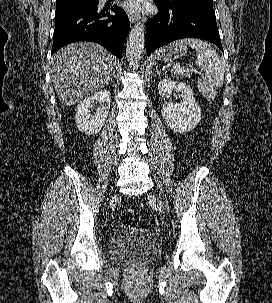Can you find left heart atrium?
Masks as SVG:
<instances>
[{
	"instance_id": "39dd6f15",
	"label": "left heart atrium",
	"mask_w": 272,
	"mask_h": 303,
	"mask_svg": "<svg viewBox=\"0 0 272 303\" xmlns=\"http://www.w3.org/2000/svg\"><path fill=\"white\" fill-rule=\"evenodd\" d=\"M125 6L130 11L139 12L145 7V0H128Z\"/></svg>"
}]
</instances>
